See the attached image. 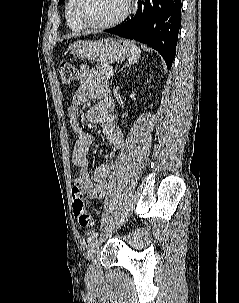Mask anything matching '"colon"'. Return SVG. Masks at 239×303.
I'll return each mask as SVG.
<instances>
[{
	"mask_svg": "<svg viewBox=\"0 0 239 303\" xmlns=\"http://www.w3.org/2000/svg\"><path fill=\"white\" fill-rule=\"evenodd\" d=\"M59 72L62 83L65 85L73 84L78 78L77 69L68 61L60 63ZM72 208L74 217L81 227L89 228L93 226L94 220L85 208L83 193L77 188H73L72 190Z\"/></svg>",
	"mask_w": 239,
	"mask_h": 303,
	"instance_id": "5ec220e1",
	"label": "colon"
}]
</instances>
